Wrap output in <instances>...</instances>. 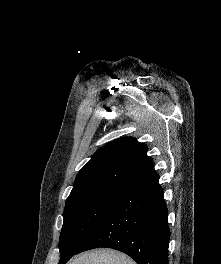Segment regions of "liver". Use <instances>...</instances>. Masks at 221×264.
<instances>
[{"label":"liver","mask_w":221,"mask_h":264,"mask_svg":"<svg viewBox=\"0 0 221 264\" xmlns=\"http://www.w3.org/2000/svg\"><path fill=\"white\" fill-rule=\"evenodd\" d=\"M68 264H136L133 259L124 253L111 249H98L80 254Z\"/></svg>","instance_id":"liver-1"}]
</instances>
